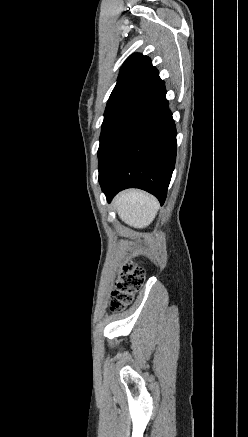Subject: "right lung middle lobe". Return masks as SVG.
Listing matches in <instances>:
<instances>
[{
  "label": "right lung middle lobe",
  "mask_w": 248,
  "mask_h": 437,
  "mask_svg": "<svg viewBox=\"0 0 248 437\" xmlns=\"http://www.w3.org/2000/svg\"><path fill=\"white\" fill-rule=\"evenodd\" d=\"M139 93L134 92L121 96L107 103L102 131L100 135V145L98 149V158H100L104 149L109 144L111 138L121 126L124 117L132 107Z\"/></svg>",
  "instance_id": "dd1d6c3e"
}]
</instances>
